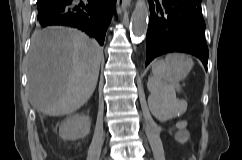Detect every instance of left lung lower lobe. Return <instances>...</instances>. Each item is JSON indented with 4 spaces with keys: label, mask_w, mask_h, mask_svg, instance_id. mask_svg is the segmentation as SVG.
Instances as JSON below:
<instances>
[{
    "label": "left lung lower lobe",
    "mask_w": 242,
    "mask_h": 160,
    "mask_svg": "<svg viewBox=\"0 0 242 160\" xmlns=\"http://www.w3.org/2000/svg\"><path fill=\"white\" fill-rule=\"evenodd\" d=\"M146 66L157 56L186 52L198 57L207 69L208 47L201 1L149 0Z\"/></svg>",
    "instance_id": "1"
}]
</instances>
